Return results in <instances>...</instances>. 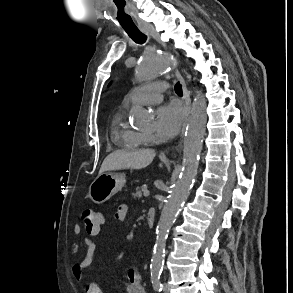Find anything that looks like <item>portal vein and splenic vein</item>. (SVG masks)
Returning a JSON list of instances; mask_svg holds the SVG:
<instances>
[{
	"label": "portal vein and splenic vein",
	"mask_w": 293,
	"mask_h": 293,
	"mask_svg": "<svg viewBox=\"0 0 293 293\" xmlns=\"http://www.w3.org/2000/svg\"><path fill=\"white\" fill-rule=\"evenodd\" d=\"M143 194L145 197H148L150 195V192H149V190H145Z\"/></svg>",
	"instance_id": "portal-vein-and-splenic-vein-1"
}]
</instances>
